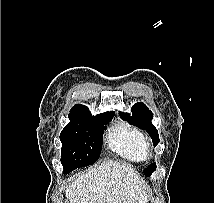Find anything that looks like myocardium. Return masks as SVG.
<instances>
[{
  "mask_svg": "<svg viewBox=\"0 0 214 203\" xmlns=\"http://www.w3.org/2000/svg\"><path fill=\"white\" fill-rule=\"evenodd\" d=\"M144 156L145 158H149L151 156V151L147 146L144 148Z\"/></svg>",
  "mask_w": 214,
  "mask_h": 203,
  "instance_id": "f54148a6",
  "label": "myocardium"
}]
</instances>
